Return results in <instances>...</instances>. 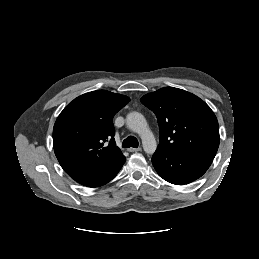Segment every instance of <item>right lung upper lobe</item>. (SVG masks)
I'll return each mask as SVG.
<instances>
[{
  "label": "right lung upper lobe",
  "mask_w": 259,
  "mask_h": 259,
  "mask_svg": "<svg viewBox=\"0 0 259 259\" xmlns=\"http://www.w3.org/2000/svg\"><path fill=\"white\" fill-rule=\"evenodd\" d=\"M129 101L125 95L97 90L63 109L53 128V146L68 175L94 174L123 156L114 140L112 120Z\"/></svg>",
  "instance_id": "obj_1"
}]
</instances>
